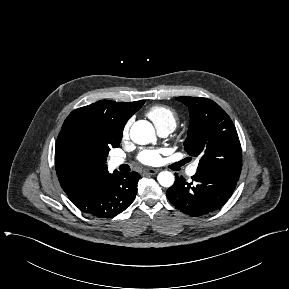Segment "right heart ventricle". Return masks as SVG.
Instances as JSON below:
<instances>
[{
    "label": "right heart ventricle",
    "mask_w": 289,
    "mask_h": 289,
    "mask_svg": "<svg viewBox=\"0 0 289 289\" xmlns=\"http://www.w3.org/2000/svg\"><path fill=\"white\" fill-rule=\"evenodd\" d=\"M146 116L153 122L158 132L161 130L173 131L179 115L175 109L166 105H154L146 111Z\"/></svg>",
    "instance_id": "e07e8e85"
}]
</instances>
